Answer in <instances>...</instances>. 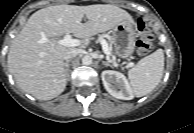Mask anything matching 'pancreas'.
<instances>
[{"label":"pancreas","mask_w":194,"mask_h":133,"mask_svg":"<svg viewBox=\"0 0 194 133\" xmlns=\"http://www.w3.org/2000/svg\"><path fill=\"white\" fill-rule=\"evenodd\" d=\"M112 50V48L111 47H109V51H111Z\"/></svg>","instance_id":"pancreas-1"}]
</instances>
